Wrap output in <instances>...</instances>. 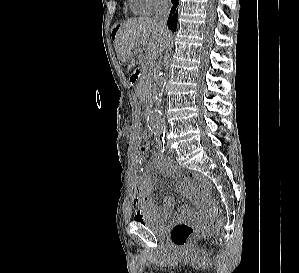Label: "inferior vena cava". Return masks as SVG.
<instances>
[{"instance_id":"obj_1","label":"inferior vena cava","mask_w":299,"mask_h":273,"mask_svg":"<svg viewBox=\"0 0 299 273\" xmlns=\"http://www.w3.org/2000/svg\"><path fill=\"white\" fill-rule=\"evenodd\" d=\"M171 10V0H157L155 5V21L163 29H167V18Z\"/></svg>"}]
</instances>
